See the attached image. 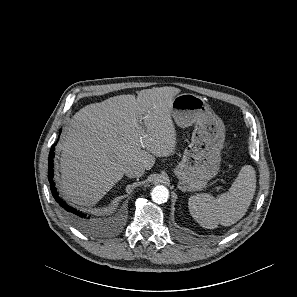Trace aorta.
I'll use <instances>...</instances> for the list:
<instances>
[{"instance_id": "aorta-1", "label": "aorta", "mask_w": 297, "mask_h": 297, "mask_svg": "<svg viewBox=\"0 0 297 297\" xmlns=\"http://www.w3.org/2000/svg\"><path fill=\"white\" fill-rule=\"evenodd\" d=\"M152 200L157 204H162L167 202L169 198V191L163 185H157L153 188L151 192Z\"/></svg>"}]
</instances>
